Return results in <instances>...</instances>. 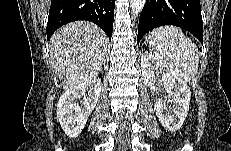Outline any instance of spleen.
Returning <instances> with one entry per match:
<instances>
[{
  "instance_id": "3e777b00",
  "label": "spleen",
  "mask_w": 231,
  "mask_h": 151,
  "mask_svg": "<svg viewBox=\"0 0 231 151\" xmlns=\"http://www.w3.org/2000/svg\"><path fill=\"white\" fill-rule=\"evenodd\" d=\"M155 56L175 68L185 81L192 80L199 65L197 46L181 29L175 26H162L154 29L149 42Z\"/></svg>"
}]
</instances>
